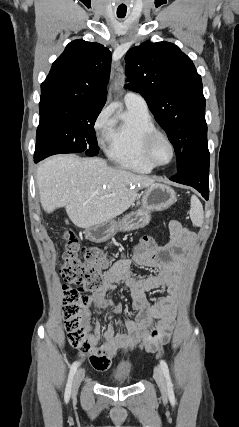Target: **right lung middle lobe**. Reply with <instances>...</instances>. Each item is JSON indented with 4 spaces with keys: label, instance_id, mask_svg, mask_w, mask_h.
<instances>
[{
    "label": "right lung middle lobe",
    "instance_id": "dd1d6c3e",
    "mask_svg": "<svg viewBox=\"0 0 239 427\" xmlns=\"http://www.w3.org/2000/svg\"><path fill=\"white\" fill-rule=\"evenodd\" d=\"M34 160L58 153H99L94 124L103 107L68 101H40Z\"/></svg>",
    "mask_w": 239,
    "mask_h": 427
}]
</instances>
